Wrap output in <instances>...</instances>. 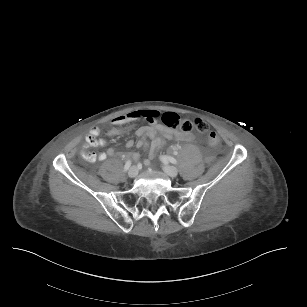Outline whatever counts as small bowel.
<instances>
[{"label": "small bowel", "mask_w": 307, "mask_h": 307, "mask_svg": "<svg viewBox=\"0 0 307 307\" xmlns=\"http://www.w3.org/2000/svg\"><path fill=\"white\" fill-rule=\"evenodd\" d=\"M158 113L154 110H134L126 114L116 117L112 124L115 129L112 131L113 134L120 132V129L127 124L134 123L141 119L146 120L149 124L139 128L136 132L139 140L135 143L133 140H129L126 143L128 149L137 146L144 149L150 147V158L145 160V164H150L151 160L155 157L159 149L164 145L166 140H178V141H191L194 136L192 133L182 134L177 131L170 130L156 122ZM100 134L99 127H92L86 135L85 144L81 151V155L87 161L94 162L96 160H105L107 157L114 156L116 151L112 148L108 149L107 152L95 154L88 152V147L91 146H104L106 141L99 139ZM134 160H138L139 155L134 153L131 155Z\"/></svg>", "instance_id": "small-bowel-1"}]
</instances>
